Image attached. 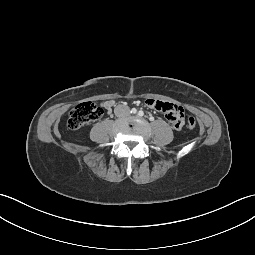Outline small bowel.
I'll list each match as a JSON object with an SVG mask.
<instances>
[{"label": "small bowel", "mask_w": 255, "mask_h": 255, "mask_svg": "<svg viewBox=\"0 0 255 255\" xmlns=\"http://www.w3.org/2000/svg\"><path fill=\"white\" fill-rule=\"evenodd\" d=\"M146 104L150 108L162 112L170 121V128L173 131H180L183 128L186 119L185 111L181 107L157 99H147ZM114 105L115 102L113 100H106L102 103L103 108L108 112L112 110Z\"/></svg>", "instance_id": "1"}]
</instances>
